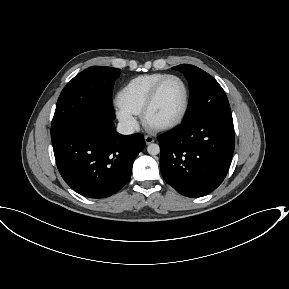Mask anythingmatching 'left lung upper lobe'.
Masks as SVG:
<instances>
[{"label": "left lung upper lobe", "instance_id": "5c2ea615", "mask_svg": "<svg viewBox=\"0 0 289 289\" xmlns=\"http://www.w3.org/2000/svg\"><path fill=\"white\" fill-rule=\"evenodd\" d=\"M173 68L185 74L190 90L188 109L182 123L204 116L232 121L226 94L211 75L188 64H181Z\"/></svg>", "mask_w": 289, "mask_h": 289}]
</instances>
